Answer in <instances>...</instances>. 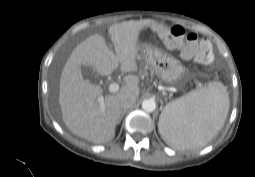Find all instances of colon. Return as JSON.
Wrapping results in <instances>:
<instances>
[{
  "mask_svg": "<svg viewBox=\"0 0 255 177\" xmlns=\"http://www.w3.org/2000/svg\"><path fill=\"white\" fill-rule=\"evenodd\" d=\"M157 33L164 45L169 49L178 50L181 57L191 59L199 64H209L213 61V52L207 40H199L197 34L187 33L179 25H159Z\"/></svg>",
  "mask_w": 255,
  "mask_h": 177,
  "instance_id": "obj_1",
  "label": "colon"
}]
</instances>
